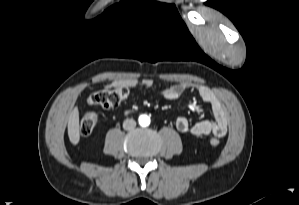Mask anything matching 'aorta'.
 I'll list each match as a JSON object with an SVG mask.
<instances>
[{
  "instance_id": "1",
  "label": "aorta",
  "mask_w": 299,
  "mask_h": 205,
  "mask_svg": "<svg viewBox=\"0 0 299 205\" xmlns=\"http://www.w3.org/2000/svg\"><path fill=\"white\" fill-rule=\"evenodd\" d=\"M139 124L143 127H146L150 124V118L147 115H140L139 116Z\"/></svg>"
}]
</instances>
